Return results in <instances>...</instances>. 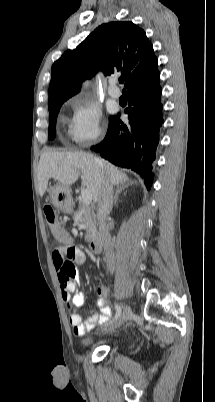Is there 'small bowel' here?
<instances>
[{
  "mask_svg": "<svg viewBox=\"0 0 215 402\" xmlns=\"http://www.w3.org/2000/svg\"><path fill=\"white\" fill-rule=\"evenodd\" d=\"M52 260L58 273L61 296L66 302L69 321L74 334L81 336L93 329L95 325H104L107 323L112 315V311L106 301L108 290L105 285L97 287L99 313H93L83 320L78 312V308L84 304L85 294L82 291H77L78 285L81 284V277L75 265H81L85 262L83 250L80 247L74 246L70 240L68 244L53 251ZM68 265L71 266V270L69 271L66 270Z\"/></svg>",
  "mask_w": 215,
  "mask_h": 402,
  "instance_id": "c3829d8e",
  "label": "small bowel"
}]
</instances>
